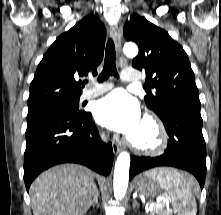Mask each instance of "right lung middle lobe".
Listing matches in <instances>:
<instances>
[{"label":"right lung middle lobe","mask_w":221,"mask_h":215,"mask_svg":"<svg viewBox=\"0 0 221 215\" xmlns=\"http://www.w3.org/2000/svg\"><path fill=\"white\" fill-rule=\"evenodd\" d=\"M79 99L61 101L50 103L46 105L29 107L27 122L30 123L34 120H37L43 116L55 113H67L73 115H79L83 112L78 111Z\"/></svg>","instance_id":"1"}]
</instances>
